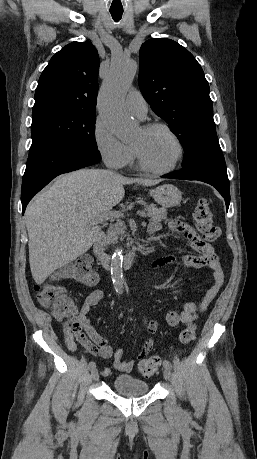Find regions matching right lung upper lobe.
I'll return each instance as SVG.
<instances>
[{"mask_svg": "<svg viewBox=\"0 0 257 459\" xmlns=\"http://www.w3.org/2000/svg\"><path fill=\"white\" fill-rule=\"evenodd\" d=\"M98 73L99 55L91 42L68 44L42 72L32 112L53 107L95 112Z\"/></svg>", "mask_w": 257, "mask_h": 459, "instance_id": "cb5924a9", "label": "right lung upper lobe"}]
</instances>
